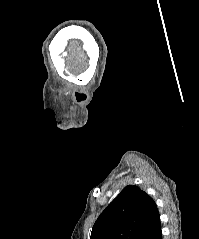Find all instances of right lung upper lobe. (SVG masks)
I'll use <instances>...</instances> for the list:
<instances>
[{
    "mask_svg": "<svg viewBox=\"0 0 199 239\" xmlns=\"http://www.w3.org/2000/svg\"><path fill=\"white\" fill-rule=\"evenodd\" d=\"M159 220L154 200L129 185L100 214L90 239H141Z\"/></svg>",
    "mask_w": 199,
    "mask_h": 239,
    "instance_id": "cb5924a9",
    "label": "right lung upper lobe"
}]
</instances>
